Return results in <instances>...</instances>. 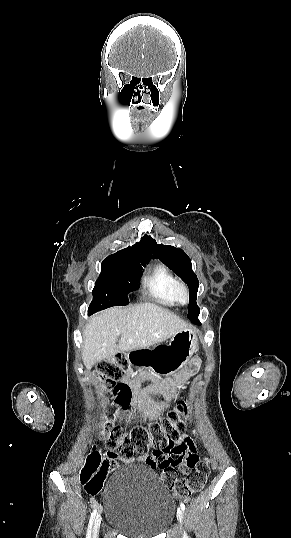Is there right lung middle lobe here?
<instances>
[{
    "label": "right lung middle lobe",
    "mask_w": 291,
    "mask_h": 538,
    "mask_svg": "<svg viewBox=\"0 0 291 538\" xmlns=\"http://www.w3.org/2000/svg\"><path fill=\"white\" fill-rule=\"evenodd\" d=\"M148 260L106 258L92 291L93 301L88 313L93 314L111 306L129 304L128 294L138 289V279Z\"/></svg>",
    "instance_id": "obj_1"
}]
</instances>
